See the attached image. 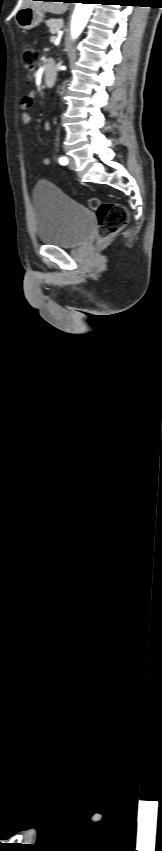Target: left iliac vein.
<instances>
[{
  "instance_id": "1",
  "label": "left iliac vein",
  "mask_w": 162,
  "mask_h": 851,
  "mask_svg": "<svg viewBox=\"0 0 162 851\" xmlns=\"http://www.w3.org/2000/svg\"><path fill=\"white\" fill-rule=\"evenodd\" d=\"M68 167H69L71 170H75V169H76V162H75L74 158L69 157Z\"/></svg>"
}]
</instances>
